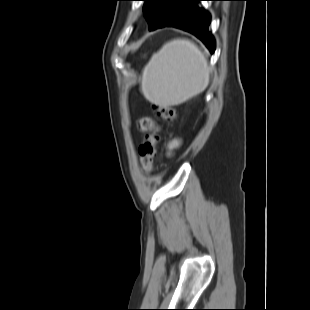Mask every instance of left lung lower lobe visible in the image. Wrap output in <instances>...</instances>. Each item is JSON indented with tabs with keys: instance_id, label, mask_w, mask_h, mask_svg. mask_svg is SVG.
<instances>
[{
	"instance_id": "1",
	"label": "left lung lower lobe",
	"mask_w": 310,
	"mask_h": 310,
	"mask_svg": "<svg viewBox=\"0 0 310 310\" xmlns=\"http://www.w3.org/2000/svg\"><path fill=\"white\" fill-rule=\"evenodd\" d=\"M200 1L202 0H189L183 10L167 26L176 27L194 34L213 53L215 43L209 31L210 16L198 6Z\"/></svg>"
}]
</instances>
